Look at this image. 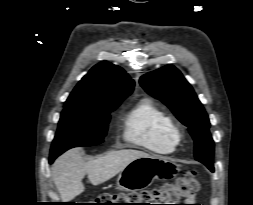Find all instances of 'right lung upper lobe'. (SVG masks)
Listing matches in <instances>:
<instances>
[{"label":"right lung upper lobe","instance_id":"right-lung-upper-lobe-1","mask_svg":"<svg viewBox=\"0 0 253 205\" xmlns=\"http://www.w3.org/2000/svg\"><path fill=\"white\" fill-rule=\"evenodd\" d=\"M133 88L134 81L122 68L101 62L77 84L65 102V107L96 108L111 100L125 99Z\"/></svg>","mask_w":253,"mask_h":205}]
</instances>
